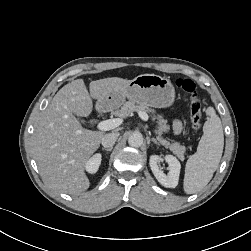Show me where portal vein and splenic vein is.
Returning <instances> with one entry per match:
<instances>
[{
  "mask_svg": "<svg viewBox=\"0 0 251 251\" xmlns=\"http://www.w3.org/2000/svg\"><path fill=\"white\" fill-rule=\"evenodd\" d=\"M138 115L142 120L144 121L148 120V114L146 112L141 111L138 113ZM122 122H123L122 118L108 119L99 122L97 128L101 131H109L119 127L122 124Z\"/></svg>",
  "mask_w": 251,
  "mask_h": 251,
  "instance_id": "obj_1",
  "label": "portal vein and splenic vein"
}]
</instances>
